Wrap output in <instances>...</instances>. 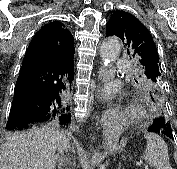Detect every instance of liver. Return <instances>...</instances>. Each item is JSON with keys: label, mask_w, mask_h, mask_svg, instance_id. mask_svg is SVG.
I'll return each instance as SVG.
<instances>
[{"label": "liver", "mask_w": 177, "mask_h": 169, "mask_svg": "<svg viewBox=\"0 0 177 169\" xmlns=\"http://www.w3.org/2000/svg\"><path fill=\"white\" fill-rule=\"evenodd\" d=\"M65 138L57 128L44 127L9 135L0 150V169H55Z\"/></svg>", "instance_id": "6515ba94"}]
</instances>
